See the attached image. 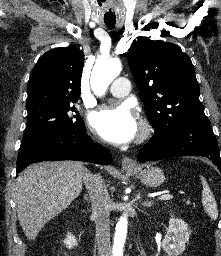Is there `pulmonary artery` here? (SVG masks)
<instances>
[{
  "label": "pulmonary artery",
  "mask_w": 221,
  "mask_h": 256,
  "mask_svg": "<svg viewBox=\"0 0 221 256\" xmlns=\"http://www.w3.org/2000/svg\"><path fill=\"white\" fill-rule=\"evenodd\" d=\"M130 90V83L128 79L124 77L117 78L110 86L109 93L117 98L125 97Z\"/></svg>",
  "instance_id": "pulmonary-artery-1"
}]
</instances>
